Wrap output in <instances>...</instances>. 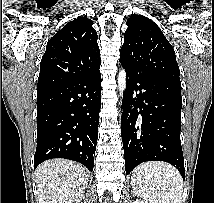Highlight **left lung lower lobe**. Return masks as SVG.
I'll return each mask as SVG.
<instances>
[{
  "label": "left lung lower lobe",
  "instance_id": "obj_1",
  "mask_svg": "<svg viewBox=\"0 0 214 203\" xmlns=\"http://www.w3.org/2000/svg\"><path fill=\"white\" fill-rule=\"evenodd\" d=\"M121 64L127 75L121 119L126 174L142 162L165 161L175 166L184 178L181 86Z\"/></svg>",
  "mask_w": 214,
  "mask_h": 203
}]
</instances>
